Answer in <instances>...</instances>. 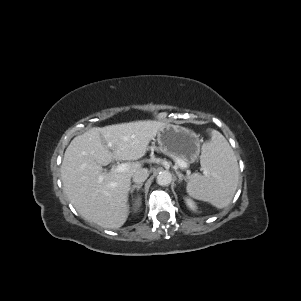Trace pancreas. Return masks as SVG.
Instances as JSON below:
<instances>
[{
	"instance_id": "obj_1",
	"label": "pancreas",
	"mask_w": 301,
	"mask_h": 301,
	"mask_svg": "<svg viewBox=\"0 0 301 301\" xmlns=\"http://www.w3.org/2000/svg\"><path fill=\"white\" fill-rule=\"evenodd\" d=\"M176 159V162L178 161V160H180V161H182V162H184V163H186V165H187V162L186 161H184L183 159H181V158H175Z\"/></svg>"
}]
</instances>
